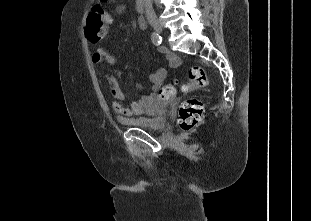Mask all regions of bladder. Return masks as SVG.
<instances>
[{
    "mask_svg": "<svg viewBox=\"0 0 311 221\" xmlns=\"http://www.w3.org/2000/svg\"><path fill=\"white\" fill-rule=\"evenodd\" d=\"M131 123L143 127L149 131H159L170 123L169 113L166 110V103L159 102L153 108H146L145 114L131 120Z\"/></svg>",
    "mask_w": 311,
    "mask_h": 221,
    "instance_id": "bladder-1",
    "label": "bladder"
}]
</instances>
